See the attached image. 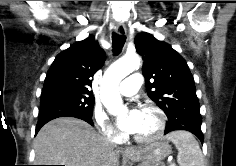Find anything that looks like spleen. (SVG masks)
<instances>
[{"label":"spleen","mask_w":236,"mask_h":166,"mask_svg":"<svg viewBox=\"0 0 236 166\" xmlns=\"http://www.w3.org/2000/svg\"><path fill=\"white\" fill-rule=\"evenodd\" d=\"M178 150L180 166H205L204 157L194 136L187 131H175L165 136Z\"/></svg>","instance_id":"spleen-1"}]
</instances>
